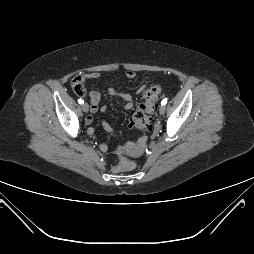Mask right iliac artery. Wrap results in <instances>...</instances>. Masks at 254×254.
Here are the masks:
<instances>
[{"instance_id": "obj_1", "label": "right iliac artery", "mask_w": 254, "mask_h": 254, "mask_svg": "<svg viewBox=\"0 0 254 254\" xmlns=\"http://www.w3.org/2000/svg\"><path fill=\"white\" fill-rule=\"evenodd\" d=\"M78 103H79V104H83L84 101H83L82 99H78Z\"/></svg>"}]
</instances>
